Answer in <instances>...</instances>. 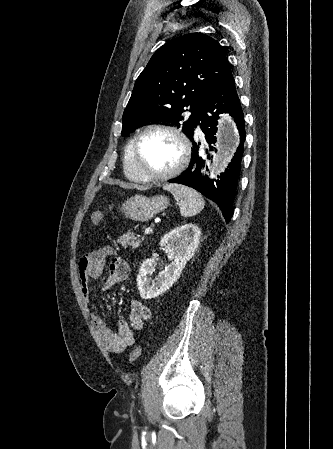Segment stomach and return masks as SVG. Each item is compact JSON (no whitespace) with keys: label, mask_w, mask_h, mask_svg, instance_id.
<instances>
[{"label":"stomach","mask_w":333,"mask_h":449,"mask_svg":"<svg viewBox=\"0 0 333 449\" xmlns=\"http://www.w3.org/2000/svg\"><path fill=\"white\" fill-rule=\"evenodd\" d=\"M169 205L168 198L162 195L146 197L135 195L122 204L121 212L134 221H148Z\"/></svg>","instance_id":"1"}]
</instances>
